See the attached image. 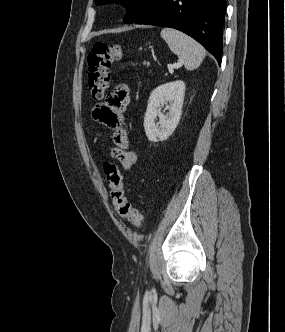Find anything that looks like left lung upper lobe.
<instances>
[{"label": "left lung upper lobe", "instance_id": "obj_1", "mask_svg": "<svg viewBox=\"0 0 285 332\" xmlns=\"http://www.w3.org/2000/svg\"><path fill=\"white\" fill-rule=\"evenodd\" d=\"M158 0H96L98 5L118 2L125 3L128 7L127 14L124 18L125 23H133L141 16L147 13Z\"/></svg>", "mask_w": 285, "mask_h": 332}]
</instances>
